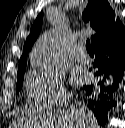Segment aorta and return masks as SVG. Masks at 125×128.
<instances>
[{
    "mask_svg": "<svg viewBox=\"0 0 125 128\" xmlns=\"http://www.w3.org/2000/svg\"><path fill=\"white\" fill-rule=\"evenodd\" d=\"M61 37L58 31L44 34L37 42L32 55L33 64L43 67H52L59 49Z\"/></svg>",
    "mask_w": 125,
    "mask_h": 128,
    "instance_id": "1",
    "label": "aorta"
}]
</instances>
